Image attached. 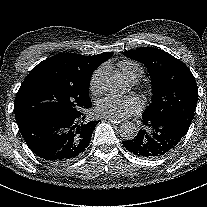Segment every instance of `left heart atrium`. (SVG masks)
<instances>
[{
	"instance_id": "39dd6f15",
	"label": "left heart atrium",
	"mask_w": 207,
	"mask_h": 207,
	"mask_svg": "<svg viewBox=\"0 0 207 207\" xmlns=\"http://www.w3.org/2000/svg\"><path fill=\"white\" fill-rule=\"evenodd\" d=\"M143 103L137 96L108 95L98 103V113L111 119H126L141 111Z\"/></svg>"
}]
</instances>
